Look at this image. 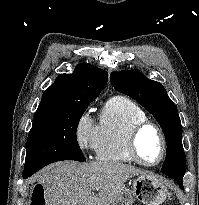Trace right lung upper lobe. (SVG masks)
<instances>
[{
	"mask_svg": "<svg viewBox=\"0 0 199 205\" xmlns=\"http://www.w3.org/2000/svg\"><path fill=\"white\" fill-rule=\"evenodd\" d=\"M108 73L93 65L78 64L72 74H60L43 93L38 111L86 99H95L107 84Z\"/></svg>",
	"mask_w": 199,
	"mask_h": 205,
	"instance_id": "right-lung-upper-lobe-1",
	"label": "right lung upper lobe"
}]
</instances>
